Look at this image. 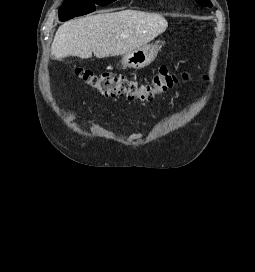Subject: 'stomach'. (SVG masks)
Here are the masks:
<instances>
[{
	"label": "stomach",
	"instance_id": "0dacf381",
	"mask_svg": "<svg viewBox=\"0 0 255 272\" xmlns=\"http://www.w3.org/2000/svg\"><path fill=\"white\" fill-rule=\"evenodd\" d=\"M160 50L159 45H144L123 55L121 67L123 69H141L151 64Z\"/></svg>",
	"mask_w": 255,
	"mask_h": 272
}]
</instances>
